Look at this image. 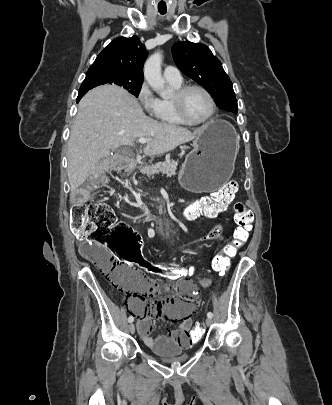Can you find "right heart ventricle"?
I'll return each mask as SVG.
<instances>
[{"mask_svg":"<svg viewBox=\"0 0 332 405\" xmlns=\"http://www.w3.org/2000/svg\"><path fill=\"white\" fill-rule=\"evenodd\" d=\"M168 83L172 87L173 90H177L180 87H182V82L174 83V82L168 81ZM155 117L161 123L174 124V125L183 124V122L177 117L173 104H172V100L169 98L159 99L158 112Z\"/></svg>","mask_w":332,"mask_h":405,"instance_id":"right-heart-ventricle-1","label":"right heart ventricle"}]
</instances>
